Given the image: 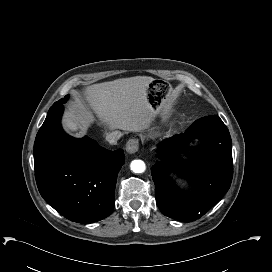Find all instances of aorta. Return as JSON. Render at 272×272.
<instances>
[{"mask_svg":"<svg viewBox=\"0 0 272 272\" xmlns=\"http://www.w3.org/2000/svg\"><path fill=\"white\" fill-rule=\"evenodd\" d=\"M134 173H143L145 171V163L142 160H133L130 164Z\"/></svg>","mask_w":272,"mask_h":272,"instance_id":"aorta-1","label":"aorta"}]
</instances>
